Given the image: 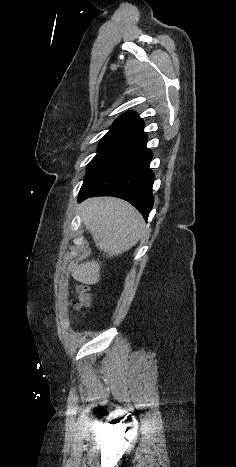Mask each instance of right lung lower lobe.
Here are the masks:
<instances>
[{"mask_svg":"<svg viewBox=\"0 0 236 467\" xmlns=\"http://www.w3.org/2000/svg\"><path fill=\"white\" fill-rule=\"evenodd\" d=\"M145 134L129 142L93 169L84 179L78 201L92 196H114L130 202L145 219L152 209L154 173L152 152Z\"/></svg>","mask_w":236,"mask_h":467,"instance_id":"obj_1","label":"right lung lower lobe"}]
</instances>
